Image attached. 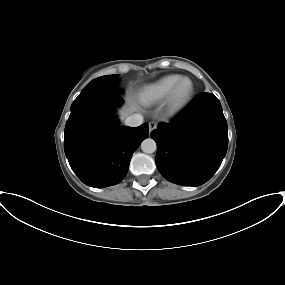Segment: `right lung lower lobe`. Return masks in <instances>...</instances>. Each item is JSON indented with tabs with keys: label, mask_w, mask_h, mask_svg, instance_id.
Here are the masks:
<instances>
[{
	"label": "right lung lower lobe",
	"mask_w": 285,
	"mask_h": 285,
	"mask_svg": "<svg viewBox=\"0 0 285 285\" xmlns=\"http://www.w3.org/2000/svg\"><path fill=\"white\" fill-rule=\"evenodd\" d=\"M122 101L117 92L110 91L89 96L71 108L64 150L71 168L88 186L103 188L121 182L132 154L149 135L148 123L119 126L111 112Z\"/></svg>",
	"instance_id": "1"
}]
</instances>
